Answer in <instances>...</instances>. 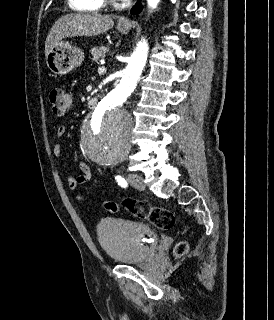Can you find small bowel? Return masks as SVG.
<instances>
[{
	"mask_svg": "<svg viewBox=\"0 0 274 320\" xmlns=\"http://www.w3.org/2000/svg\"><path fill=\"white\" fill-rule=\"evenodd\" d=\"M66 133V126L60 125L56 130V142L53 148V156L60 160L62 157V141ZM79 169L81 171L80 175L69 174L67 176V186L70 191H75L80 185L87 183L91 179V170L87 163L80 161ZM79 201H84L86 197L82 194L77 195Z\"/></svg>",
	"mask_w": 274,
	"mask_h": 320,
	"instance_id": "c3829d8e",
	"label": "small bowel"
}]
</instances>
